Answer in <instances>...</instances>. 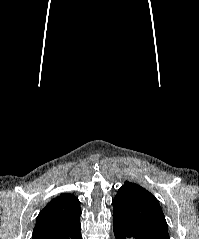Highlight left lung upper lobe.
I'll list each match as a JSON object with an SVG mask.
<instances>
[{"instance_id": "5c2ea615", "label": "left lung upper lobe", "mask_w": 199, "mask_h": 239, "mask_svg": "<svg viewBox=\"0 0 199 239\" xmlns=\"http://www.w3.org/2000/svg\"><path fill=\"white\" fill-rule=\"evenodd\" d=\"M113 213L154 239H170L157 199L143 187L126 181L113 200Z\"/></svg>"}]
</instances>
